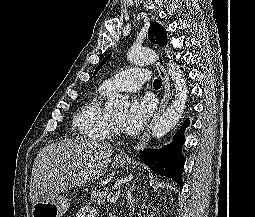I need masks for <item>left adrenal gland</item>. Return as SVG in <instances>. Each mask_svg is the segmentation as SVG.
<instances>
[{
	"instance_id": "obj_1",
	"label": "left adrenal gland",
	"mask_w": 255,
	"mask_h": 217,
	"mask_svg": "<svg viewBox=\"0 0 255 217\" xmlns=\"http://www.w3.org/2000/svg\"><path fill=\"white\" fill-rule=\"evenodd\" d=\"M133 190H134V185H132L129 188V190L127 192V197H126L128 205H129V208L131 210V215L134 213V204H133L134 203V199H133V196H132Z\"/></svg>"
}]
</instances>
